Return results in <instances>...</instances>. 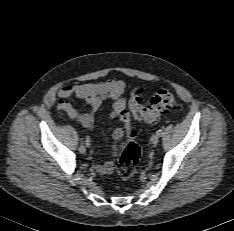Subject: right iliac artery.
Returning <instances> with one entry per match:
<instances>
[{"label": "right iliac artery", "mask_w": 234, "mask_h": 231, "mask_svg": "<svg viewBox=\"0 0 234 231\" xmlns=\"http://www.w3.org/2000/svg\"><path fill=\"white\" fill-rule=\"evenodd\" d=\"M85 144L87 147H89L91 144H90V139L89 138H86L85 140Z\"/></svg>", "instance_id": "obj_1"}]
</instances>
